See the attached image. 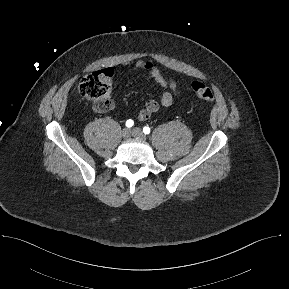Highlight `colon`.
I'll return each mask as SVG.
<instances>
[{
  "mask_svg": "<svg viewBox=\"0 0 289 289\" xmlns=\"http://www.w3.org/2000/svg\"><path fill=\"white\" fill-rule=\"evenodd\" d=\"M112 71L101 70L86 75L79 84L81 95L91 102L96 112H107L114 107L111 95ZM191 88L202 100L213 101L212 89L200 81H193Z\"/></svg>",
  "mask_w": 289,
  "mask_h": 289,
  "instance_id": "5ec220e1",
  "label": "colon"
}]
</instances>
